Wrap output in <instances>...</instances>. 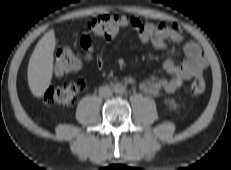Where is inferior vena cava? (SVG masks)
Segmentation results:
<instances>
[{"instance_id":"602c4592","label":"inferior vena cava","mask_w":231,"mask_h":170,"mask_svg":"<svg viewBox=\"0 0 231 170\" xmlns=\"http://www.w3.org/2000/svg\"><path fill=\"white\" fill-rule=\"evenodd\" d=\"M112 94H113V91L109 86H103V87H100L99 89V95L101 97L107 98V97L112 96Z\"/></svg>"}]
</instances>
